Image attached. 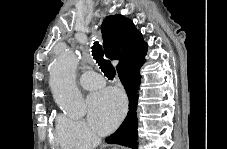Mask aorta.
<instances>
[{"instance_id": "obj_1", "label": "aorta", "mask_w": 227, "mask_h": 149, "mask_svg": "<svg viewBox=\"0 0 227 149\" xmlns=\"http://www.w3.org/2000/svg\"><path fill=\"white\" fill-rule=\"evenodd\" d=\"M77 56L73 51H65L50 66V86L58 106L69 116L82 117L85 104L82 94L75 84Z\"/></svg>"}]
</instances>
